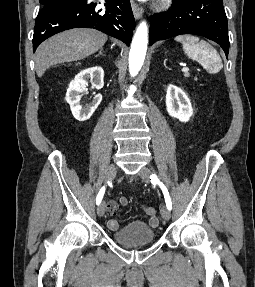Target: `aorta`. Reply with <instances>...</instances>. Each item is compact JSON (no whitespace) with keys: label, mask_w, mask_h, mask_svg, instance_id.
<instances>
[{"label":"aorta","mask_w":255,"mask_h":287,"mask_svg":"<svg viewBox=\"0 0 255 287\" xmlns=\"http://www.w3.org/2000/svg\"><path fill=\"white\" fill-rule=\"evenodd\" d=\"M148 44V28L146 22H141L134 34L129 53V72L132 77L140 71Z\"/></svg>","instance_id":"1"}]
</instances>
